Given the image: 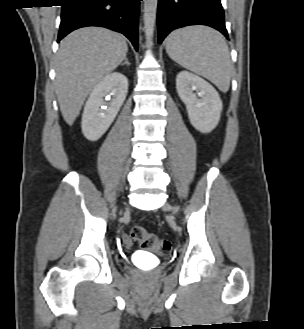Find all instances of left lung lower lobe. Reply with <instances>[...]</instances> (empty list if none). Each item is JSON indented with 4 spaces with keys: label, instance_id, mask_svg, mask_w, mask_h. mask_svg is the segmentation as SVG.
I'll use <instances>...</instances> for the list:
<instances>
[{
    "label": "left lung lower lobe",
    "instance_id": "left-lung-lower-lobe-1",
    "mask_svg": "<svg viewBox=\"0 0 304 329\" xmlns=\"http://www.w3.org/2000/svg\"><path fill=\"white\" fill-rule=\"evenodd\" d=\"M158 42L174 29L188 25H207L226 38L224 11L220 0H158Z\"/></svg>",
    "mask_w": 304,
    "mask_h": 329
}]
</instances>
